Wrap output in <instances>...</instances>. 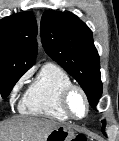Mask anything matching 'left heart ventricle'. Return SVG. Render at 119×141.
I'll list each match as a JSON object with an SVG mask.
<instances>
[{
	"label": "left heart ventricle",
	"mask_w": 119,
	"mask_h": 141,
	"mask_svg": "<svg viewBox=\"0 0 119 141\" xmlns=\"http://www.w3.org/2000/svg\"><path fill=\"white\" fill-rule=\"evenodd\" d=\"M70 106L72 112L77 116H82L85 112V104L82 96L75 92L70 98Z\"/></svg>",
	"instance_id": "obj_1"
}]
</instances>
